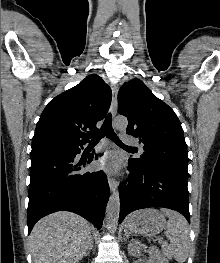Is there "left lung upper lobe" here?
Returning <instances> with one entry per match:
<instances>
[{
    "label": "left lung upper lobe",
    "instance_id": "obj_1",
    "mask_svg": "<svg viewBox=\"0 0 220 263\" xmlns=\"http://www.w3.org/2000/svg\"><path fill=\"white\" fill-rule=\"evenodd\" d=\"M118 112L128 119L126 133L144 144L139 166L160 165L188 176V153L181 123L166 103L139 79L125 83L118 93Z\"/></svg>",
    "mask_w": 220,
    "mask_h": 263
}]
</instances>
